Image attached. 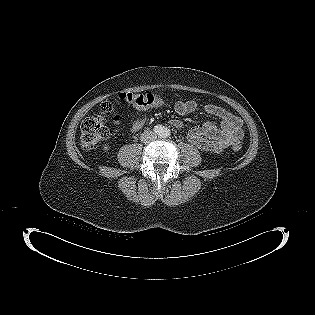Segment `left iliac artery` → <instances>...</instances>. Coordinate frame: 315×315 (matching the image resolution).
<instances>
[{
    "label": "left iliac artery",
    "mask_w": 315,
    "mask_h": 315,
    "mask_svg": "<svg viewBox=\"0 0 315 315\" xmlns=\"http://www.w3.org/2000/svg\"><path fill=\"white\" fill-rule=\"evenodd\" d=\"M171 135V131L168 128H163V131L161 133V137H169Z\"/></svg>",
    "instance_id": "left-iliac-artery-1"
}]
</instances>
